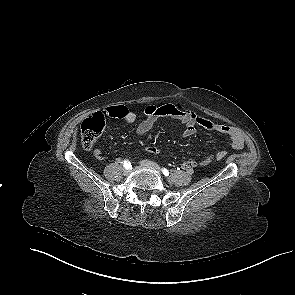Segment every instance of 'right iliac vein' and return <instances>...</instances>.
<instances>
[{
  "label": "right iliac vein",
  "instance_id": "63e3f726",
  "mask_svg": "<svg viewBox=\"0 0 295 295\" xmlns=\"http://www.w3.org/2000/svg\"><path fill=\"white\" fill-rule=\"evenodd\" d=\"M129 173H130V170L129 169H124V171H123V174L124 175H129Z\"/></svg>",
  "mask_w": 295,
  "mask_h": 295
}]
</instances>
